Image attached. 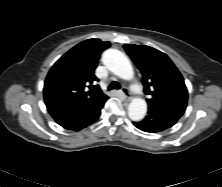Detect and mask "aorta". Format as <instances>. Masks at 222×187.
<instances>
[{
    "label": "aorta",
    "mask_w": 222,
    "mask_h": 187,
    "mask_svg": "<svg viewBox=\"0 0 222 187\" xmlns=\"http://www.w3.org/2000/svg\"><path fill=\"white\" fill-rule=\"evenodd\" d=\"M102 62L113 74L131 80L134 77L129 59L119 50L108 49L102 54ZM147 112V103L142 98H134L128 106V116L132 121H141Z\"/></svg>",
    "instance_id": "1"
}]
</instances>
